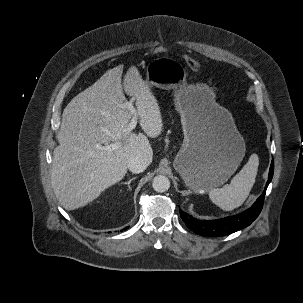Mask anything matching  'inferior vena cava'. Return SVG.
<instances>
[{"label": "inferior vena cava", "mask_w": 303, "mask_h": 303, "mask_svg": "<svg viewBox=\"0 0 303 303\" xmlns=\"http://www.w3.org/2000/svg\"><path fill=\"white\" fill-rule=\"evenodd\" d=\"M148 165H149V161L146 158L139 155L131 157L127 163V167L132 173L143 172Z\"/></svg>", "instance_id": "1"}]
</instances>
